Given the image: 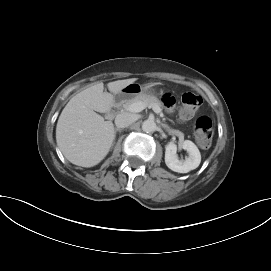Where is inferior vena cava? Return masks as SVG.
Returning a JSON list of instances; mask_svg holds the SVG:
<instances>
[{
    "label": "inferior vena cava",
    "instance_id": "obj_1",
    "mask_svg": "<svg viewBox=\"0 0 271 271\" xmlns=\"http://www.w3.org/2000/svg\"><path fill=\"white\" fill-rule=\"evenodd\" d=\"M136 121V117L130 113L118 114L115 118V124L118 128H125Z\"/></svg>",
    "mask_w": 271,
    "mask_h": 271
}]
</instances>
